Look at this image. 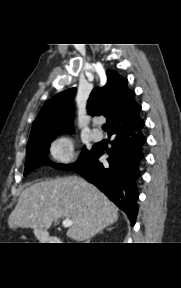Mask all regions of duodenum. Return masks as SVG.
Listing matches in <instances>:
<instances>
[{
    "label": "duodenum",
    "mask_w": 181,
    "mask_h": 288,
    "mask_svg": "<svg viewBox=\"0 0 181 288\" xmlns=\"http://www.w3.org/2000/svg\"><path fill=\"white\" fill-rule=\"evenodd\" d=\"M38 239L45 243H50L51 241H56L55 243H61L59 238H53L44 231L38 233Z\"/></svg>",
    "instance_id": "duodenum-1"
}]
</instances>
